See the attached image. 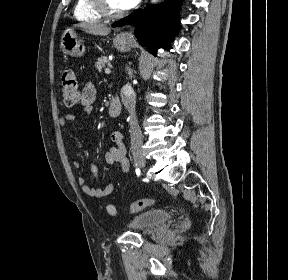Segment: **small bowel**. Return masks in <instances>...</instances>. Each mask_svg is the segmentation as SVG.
Here are the masks:
<instances>
[{
	"instance_id": "1",
	"label": "small bowel",
	"mask_w": 288,
	"mask_h": 280,
	"mask_svg": "<svg viewBox=\"0 0 288 280\" xmlns=\"http://www.w3.org/2000/svg\"><path fill=\"white\" fill-rule=\"evenodd\" d=\"M96 97V88L92 83H88L82 90L80 95V108L79 112L83 115H89L92 112V105L94 103ZM76 120L75 114H67L65 117L60 119V125L65 127L70 123ZM111 140L115 143V146L110 148L105 153V162L107 164L119 163L122 168V172L127 174L129 171V163L126 158V148L123 144V135L120 131L115 130L111 133ZM74 166L76 168L80 167V163L78 161L74 162ZM89 170L95 180L99 181V169L98 166L91 162L89 164ZM77 183L80 186L81 190L88 196L95 198H105L109 196L113 189L114 185L112 183L107 184L106 186H97L92 187L87 185L86 178L83 176H79L77 178Z\"/></svg>"
}]
</instances>
